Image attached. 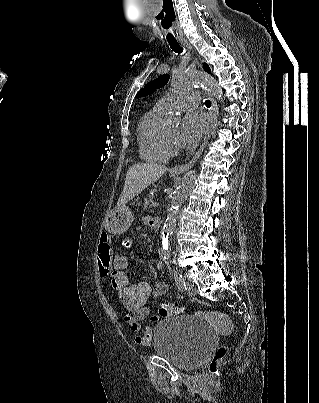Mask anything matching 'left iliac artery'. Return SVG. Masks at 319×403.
<instances>
[{
    "instance_id": "44dca946",
    "label": "left iliac artery",
    "mask_w": 319,
    "mask_h": 403,
    "mask_svg": "<svg viewBox=\"0 0 319 403\" xmlns=\"http://www.w3.org/2000/svg\"><path fill=\"white\" fill-rule=\"evenodd\" d=\"M173 274L176 282V286L180 291H183L186 287L185 279L183 275L175 268H173Z\"/></svg>"
}]
</instances>
